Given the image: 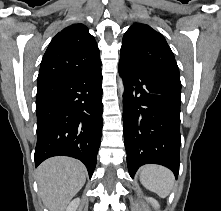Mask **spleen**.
Here are the masks:
<instances>
[{
  "label": "spleen",
  "instance_id": "1",
  "mask_svg": "<svg viewBox=\"0 0 221 211\" xmlns=\"http://www.w3.org/2000/svg\"><path fill=\"white\" fill-rule=\"evenodd\" d=\"M140 181L145 188L155 192L160 197L169 195L174 185L173 173L159 165H145L139 170Z\"/></svg>",
  "mask_w": 221,
  "mask_h": 211
}]
</instances>
